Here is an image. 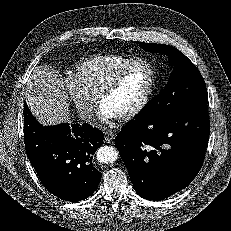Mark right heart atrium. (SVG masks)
<instances>
[{
    "label": "right heart atrium",
    "mask_w": 231,
    "mask_h": 231,
    "mask_svg": "<svg viewBox=\"0 0 231 231\" xmlns=\"http://www.w3.org/2000/svg\"><path fill=\"white\" fill-rule=\"evenodd\" d=\"M61 90L73 102L80 118L90 121L95 111V99L81 87L74 75L64 77Z\"/></svg>",
    "instance_id": "obj_1"
}]
</instances>
